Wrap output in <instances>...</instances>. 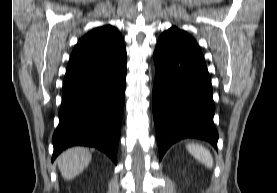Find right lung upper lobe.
I'll use <instances>...</instances> for the list:
<instances>
[{
    "mask_svg": "<svg viewBox=\"0 0 277 193\" xmlns=\"http://www.w3.org/2000/svg\"><path fill=\"white\" fill-rule=\"evenodd\" d=\"M126 50L124 40L115 27L105 25L83 36L72 51L66 73L102 65Z\"/></svg>",
    "mask_w": 277,
    "mask_h": 193,
    "instance_id": "right-lung-upper-lobe-1",
    "label": "right lung upper lobe"
}]
</instances>
